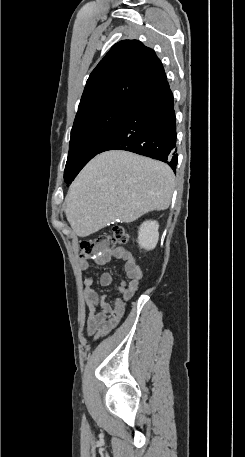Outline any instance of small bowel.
I'll return each instance as SVG.
<instances>
[{
    "label": "small bowel",
    "mask_w": 245,
    "mask_h": 457,
    "mask_svg": "<svg viewBox=\"0 0 245 457\" xmlns=\"http://www.w3.org/2000/svg\"><path fill=\"white\" fill-rule=\"evenodd\" d=\"M115 257L124 262V270L127 281L122 280L117 286L118 297L110 304L95 288L94 278L87 277L84 284V298L89 309V316L85 325L87 336L93 339L104 337L122 319L126 310L128 300L138 290L142 279L141 267L136 263L131 253L124 247L110 248L106 252L93 257L91 260L99 265L108 264ZM90 259H81L79 267L81 270L89 268ZM101 286H109L112 283V276L103 273L99 278Z\"/></svg>",
    "instance_id": "c3829d8e"
}]
</instances>
